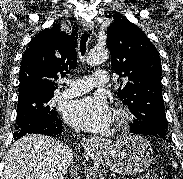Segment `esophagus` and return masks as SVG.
Masks as SVG:
<instances>
[{
	"instance_id": "34e87169",
	"label": "esophagus",
	"mask_w": 183,
	"mask_h": 179,
	"mask_svg": "<svg viewBox=\"0 0 183 179\" xmlns=\"http://www.w3.org/2000/svg\"><path fill=\"white\" fill-rule=\"evenodd\" d=\"M94 30V23L89 22L84 24V31L91 34ZM111 143L110 139L102 137H90L83 139L82 146L88 154H99L104 148L109 146Z\"/></svg>"
}]
</instances>
